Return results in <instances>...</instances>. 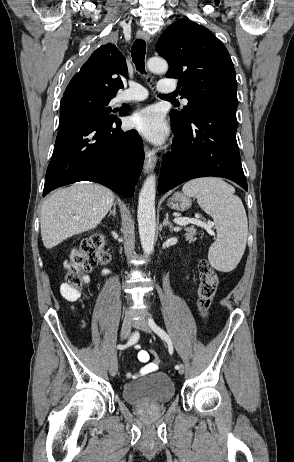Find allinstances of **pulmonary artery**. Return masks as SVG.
Wrapping results in <instances>:
<instances>
[{
	"instance_id": "e3ab8cb5",
	"label": "pulmonary artery",
	"mask_w": 294,
	"mask_h": 462,
	"mask_svg": "<svg viewBox=\"0 0 294 462\" xmlns=\"http://www.w3.org/2000/svg\"><path fill=\"white\" fill-rule=\"evenodd\" d=\"M158 90L162 93L169 94L175 91V85L170 83L169 79H162L158 84ZM147 96L148 91L146 88L138 83L130 82L129 88L122 92L120 100L123 102L141 101L146 99ZM183 103H187V100L183 99Z\"/></svg>"
}]
</instances>
